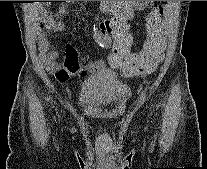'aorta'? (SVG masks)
I'll return each mask as SVG.
<instances>
[{
  "mask_svg": "<svg viewBox=\"0 0 207 169\" xmlns=\"http://www.w3.org/2000/svg\"><path fill=\"white\" fill-rule=\"evenodd\" d=\"M126 3V2H129L130 4H128V6H131L132 4L136 3L135 1H122V2H119V1H112V7L113 9H120V8H123V6H126L125 4L123 3Z\"/></svg>",
  "mask_w": 207,
  "mask_h": 169,
  "instance_id": "1",
  "label": "aorta"
}]
</instances>
